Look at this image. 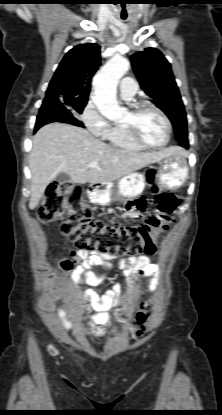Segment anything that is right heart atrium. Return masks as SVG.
<instances>
[{
    "instance_id": "obj_1",
    "label": "right heart atrium",
    "mask_w": 222,
    "mask_h": 415,
    "mask_svg": "<svg viewBox=\"0 0 222 415\" xmlns=\"http://www.w3.org/2000/svg\"><path fill=\"white\" fill-rule=\"evenodd\" d=\"M82 124L95 136L106 138L112 124L100 112L94 101L90 100L79 115Z\"/></svg>"
}]
</instances>
